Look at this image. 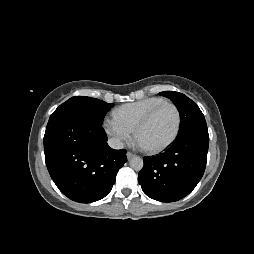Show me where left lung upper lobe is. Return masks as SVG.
<instances>
[{
	"label": "left lung upper lobe",
	"instance_id": "1",
	"mask_svg": "<svg viewBox=\"0 0 254 254\" xmlns=\"http://www.w3.org/2000/svg\"><path fill=\"white\" fill-rule=\"evenodd\" d=\"M160 95L169 98L179 110L178 137L193 131H208L204 115L195 102L179 92L164 91Z\"/></svg>",
	"mask_w": 254,
	"mask_h": 254
}]
</instances>
